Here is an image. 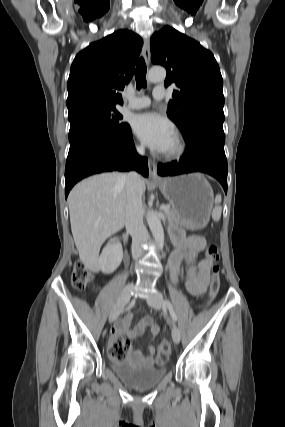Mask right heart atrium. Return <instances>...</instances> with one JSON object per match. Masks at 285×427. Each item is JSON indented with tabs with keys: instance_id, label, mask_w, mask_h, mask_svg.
<instances>
[{
	"instance_id": "right-heart-atrium-1",
	"label": "right heart atrium",
	"mask_w": 285,
	"mask_h": 427,
	"mask_svg": "<svg viewBox=\"0 0 285 427\" xmlns=\"http://www.w3.org/2000/svg\"><path fill=\"white\" fill-rule=\"evenodd\" d=\"M134 149H135L137 152H142L143 147H142V145H141V144H139V143H135V144H134Z\"/></svg>"
}]
</instances>
